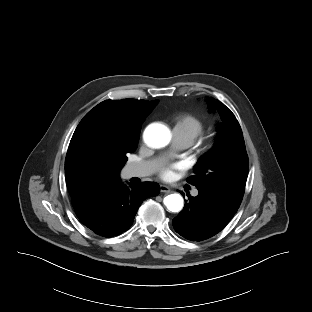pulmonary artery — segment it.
<instances>
[{
  "mask_svg": "<svg viewBox=\"0 0 312 312\" xmlns=\"http://www.w3.org/2000/svg\"><path fill=\"white\" fill-rule=\"evenodd\" d=\"M173 144L178 149L186 148L190 145V142L177 134H174ZM158 166L157 160H150L144 162H138L130 164L128 167V176L129 177H145L153 173V171ZM194 196L198 195V191L194 190L192 193Z\"/></svg>",
  "mask_w": 312,
  "mask_h": 312,
  "instance_id": "e3ab8cb5",
  "label": "pulmonary artery"
}]
</instances>
